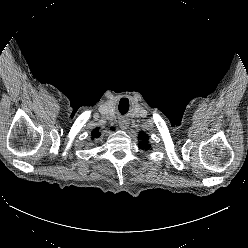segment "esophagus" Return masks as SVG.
<instances>
[{
    "instance_id": "1",
    "label": "esophagus",
    "mask_w": 248,
    "mask_h": 248,
    "mask_svg": "<svg viewBox=\"0 0 248 248\" xmlns=\"http://www.w3.org/2000/svg\"><path fill=\"white\" fill-rule=\"evenodd\" d=\"M129 126V122L127 120H120L119 127L123 130L127 129Z\"/></svg>"
}]
</instances>
